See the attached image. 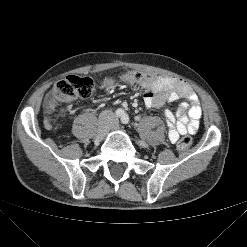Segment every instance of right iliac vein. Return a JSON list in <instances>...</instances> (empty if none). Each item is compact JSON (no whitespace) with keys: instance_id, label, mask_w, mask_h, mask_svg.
Segmentation results:
<instances>
[{"instance_id":"obj_1","label":"right iliac vein","mask_w":247,"mask_h":247,"mask_svg":"<svg viewBox=\"0 0 247 247\" xmlns=\"http://www.w3.org/2000/svg\"><path fill=\"white\" fill-rule=\"evenodd\" d=\"M109 130V124L106 120H101L98 124L97 128V133H96V138L98 140L104 139V137L107 135Z\"/></svg>"}]
</instances>
